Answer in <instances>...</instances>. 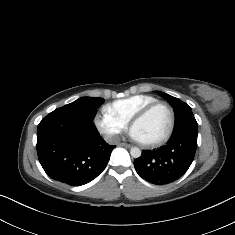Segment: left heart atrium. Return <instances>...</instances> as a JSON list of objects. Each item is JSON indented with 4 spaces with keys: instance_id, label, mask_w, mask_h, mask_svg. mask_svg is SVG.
Wrapping results in <instances>:
<instances>
[{
    "instance_id": "obj_1",
    "label": "left heart atrium",
    "mask_w": 235,
    "mask_h": 235,
    "mask_svg": "<svg viewBox=\"0 0 235 235\" xmlns=\"http://www.w3.org/2000/svg\"><path fill=\"white\" fill-rule=\"evenodd\" d=\"M129 135L132 140L136 142H141L140 137L133 128H131Z\"/></svg>"
}]
</instances>
